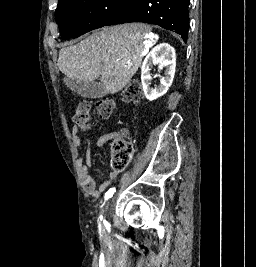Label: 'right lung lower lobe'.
Segmentation results:
<instances>
[{
	"label": "right lung lower lobe",
	"mask_w": 256,
	"mask_h": 267,
	"mask_svg": "<svg viewBox=\"0 0 256 267\" xmlns=\"http://www.w3.org/2000/svg\"><path fill=\"white\" fill-rule=\"evenodd\" d=\"M189 2L190 0H138L129 14L119 15L104 26L127 22L157 24L180 34L187 42Z\"/></svg>",
	"instance_id": "98d812e1"
}]
</instances>
